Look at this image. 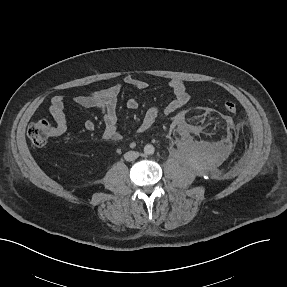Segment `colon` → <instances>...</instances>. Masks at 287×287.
<instances>
[{
	"label": "colon",
	"mask_w": 287,
	"mask_h": 287,
	"mask_svg": "<svg viewBox=\"0 0 287 287\" xmlns=\"http://www.w3.org/2000/svg\"><path fill=\"white\" fill-rule=\"evenodd\" d=\"M224 108L229 113H235L237 106L234 102H225ZM52 132L51 126L48 121L40 119L32 122L28 127V137L32 144L36 147H44Z\"/></svg>",
	"instance_id": "obj_1"
}]
</instances>
